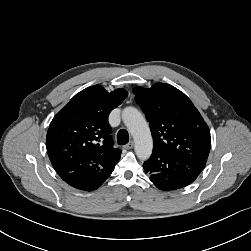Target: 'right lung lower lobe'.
I'll list each match as a JSON object with an SVG mask.
<instances>
[{
    "mask_svg": "<svg viewBox=\"0 0 251 251\" xmlns=\"http://www.w3.org/2000/svg\"><path fill=\"white\" fill-rule=\"evenodd\" d=\"M68 155L65 152H61L52 158L51 163L60 177L69 185L85 190L91 191L97 189L112 173L103 172L97 163H84L74 166L73 164H67ZM75 170L70 173H66V168H74Z\"/></svg>",
    "mask_w": 251,
    "mask_h": 251,
    "instance_id": "1",
    "label": "right lung lower lobe"
}]
</instances>
